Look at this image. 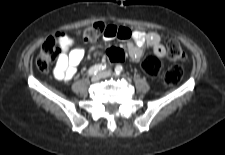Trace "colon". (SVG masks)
Returning a JSON list of instances; mask_svg holds the SVG:
<instances>
[{
    "instance_id": "colon-1",
    "label": "colon",
    "mask_w": 225,
    "mask_h": 155,
    "mask_svg": "<svg viewBox=\"0 0 225 155\" xmlns=\"http://www.w3.org/2000/svg\"><path fill=\"white\" fill-rule=\"evenodd\" d=\"M109 30V25L97 22L79 30L77 34L83 42L92 43ZM57 34L48 37L41 46L36 59V66L40 71H47L59 57L60 48L56 43ZM167 52L169 59L174 63L182 62L186 58L184 49L180 43L174 39L167 41ZM106 54L112 63L124 62L126 60V53L121 47L111 46L107 49ZM159 68L160 63L157 60L148 59L142 63L141 73L143 75L155 76L158 74ZM182 77V68L179 65H174L165 72L164 81L168 85H174L178 83Z\"/></svg>"
}]
</instances>
